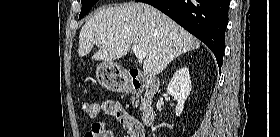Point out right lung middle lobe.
<instances>
[{
  "label": "right lung middle lobe",
  "instance_id": "1",
  "mask_svg": "<svg viewBox=\"0 0 280 137\" xmlns=\"http://www.w3.org/2000/svg\"><path fill=\"white\" fill-rule=\"evenodd\" d=\"M97 1L98 0H81L82 9L79 15V19L83 18Z\"/></svg>",
  "mask_w": 280,
  "mask_h": 137
}]
</instances>
